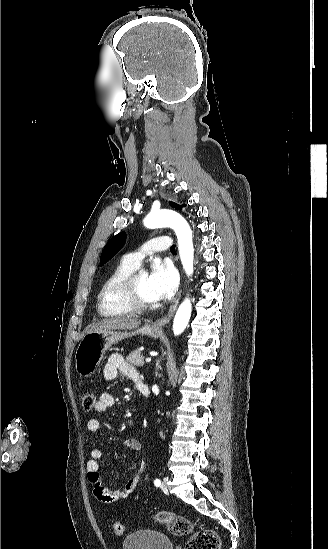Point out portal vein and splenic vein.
<instances>
[{
    "mask_svg": "<svg viewBox=\"0 0 328 549\" xmlns=\"http://www.w3.org/2000/svg\"><path fill=\"white\" fill-rule=\"evenodd\" d=\"M146 361H150V358H146Z\"/></svg>",
    "mask_w": 328,
    "mask_h": 549,
    "instance_id": "portal-vein-and-splenic-vein-1",
    "label": "portal vein and splenic vein"
}]
</instances>
